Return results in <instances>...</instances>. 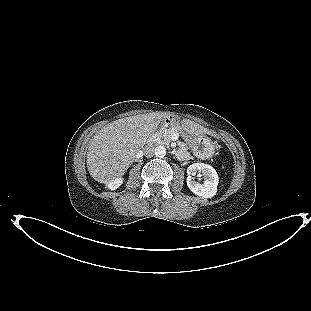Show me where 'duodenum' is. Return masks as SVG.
<instances>
[{"instance_id":"duodenum-1","label":"duodenum","mask_w":311,"mask_h":311,"mask_svg":"<svg viewBox=\"0 0 311 311\" xmlns=\"http://www.w3.org/2000/svg\"><path fill=\"white\" fill-rule=\"evenodd\" d=\"M172 123V120L170 118H167L166 121H165V124L166 125H170Z\"/></svg>"}]
</instances>
